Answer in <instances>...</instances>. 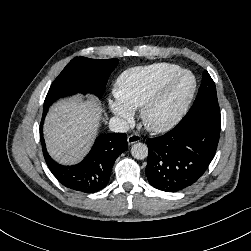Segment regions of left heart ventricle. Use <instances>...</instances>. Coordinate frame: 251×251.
Instances as JSON below:
<instances>
[{
	"label": "left heart ventricle",
	"mask_w": 251,
	"mask_h": 251,
	"mask_svg": "<svg viewBox=\"0 0 251 251\" xmlns=\"http://www.w3.org/2000/svg\"><path fill=\"white\" fill-rule=\"evenodd\" d=\"M191 85L189 77L182 78L169 94L151 111L150 118L159 122L168 118L179 106Z\"/></svg>",
	"instance_id": "1"
}]
</instances>
